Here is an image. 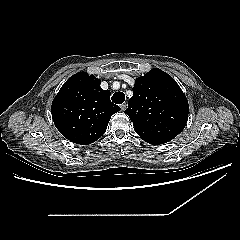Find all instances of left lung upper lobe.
<instances>
[{
	"mask_svg": "<svg viewBox=\"0 0 240 240\" xmlns=\"http://www.w3.org/2000/svg\"><path fill=\"white\" fill-rule=\"evenodd\" d=\"M125 113L147 143L170 141L185 127L189 105L176 81L158 68L136 79Z\"/></svg>",
	"mask_w": 240,
	"mask_h": 240,
	"instance_id": "1",
	"label": "left lung upper lobe"
}]
</instances>
